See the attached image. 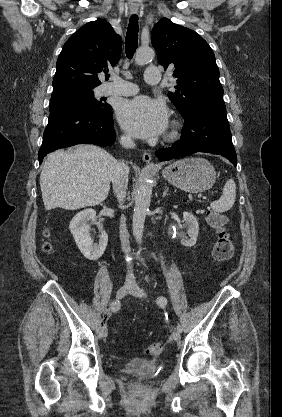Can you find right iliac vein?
Here are the masks:
<instances>
[{
    "mask_svg": "<svg viewBox=\"0 0 282 417\" xmlns=\"http://www.w3.org/2000/svg\"><path fill=\"white\" fill-rule=\"evenodd\" d=\"M131 288H132V285H130V284H125L122 287H120L119 290L117 291V294H116L117 299H121L124 296H126L127 293L130 292ZM107 334H108L107 328L102 327L101 330H100V333H99L100 337H106Z\"/></svg>",
    "mask_w": 282,
    "mask_h": 417,
    "instance_id": "obj_1",
    "label": "right iliac vein"
}]
</instances>
